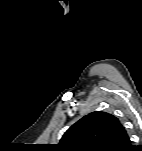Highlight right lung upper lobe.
Listing matches in <instances>:
<instances>
[{"label":"right lung upper lobe","instance_id":"1","mask_svg":"<svg viewBox=\"0 0 142 151\" xmlns=\"http://www.w3.org/2000/svg\"><path fill=\"white\" fill-rule=\"evenodd\" d=\"M134 147L118 118L101 111L72 125L56 145L59 151H131Z\"/></svg>","mask_w":142,"mask_h":151}]
</instances>
